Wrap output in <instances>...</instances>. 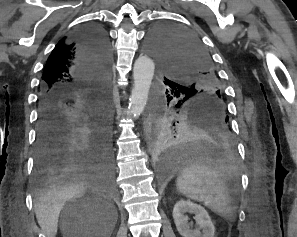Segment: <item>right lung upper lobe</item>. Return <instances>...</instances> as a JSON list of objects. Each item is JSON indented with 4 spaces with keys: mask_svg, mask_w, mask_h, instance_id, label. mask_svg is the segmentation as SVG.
I'll use <instances>...</instances> for the list:
<instances>
[{
    "mask_svg": "<svg viewBox=\"0 0 297 237\" xmlns=\"http://www.w3.org/2000/svg\"><path fill=\"white\" fill-rule=\"evenodd\" d=\"M74 36L63 38L50 54L42 75L41 92L61 89L73 98L89 89V79L78 71L79 50Z\"/></svg>",
    "mask_w": 297,
    "mask_h": 237,
    "instance_id": "obj_1",
    "label": "right lung upper lobe"
}]
</instances>
